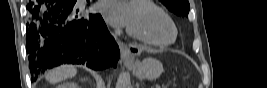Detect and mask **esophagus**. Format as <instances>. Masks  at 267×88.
Segmentation results:
<instances>
[{
	"mask_svg": "<svg viewBox=\"0 0 267 88\" xmlns=\"http://www.w3.org/2000/svg\"><path fill=\"white\" fill-rule=\"evenodd\" d=\"M118 45L120 49V55H121V60L124 63H131L134 61V57L132 56L130 49L126 44L118 40Z\"/></svg>",
	"mask_w": 267,
	"mask_h": 88,
	"instance_id": "esophagus-1",
	"label": "esophagus"
}]
</instances>
